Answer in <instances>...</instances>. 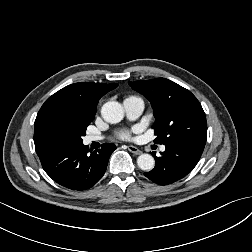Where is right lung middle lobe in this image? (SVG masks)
<instances>
[{"label":"right lung middle lobe","mask_w":252,"mask_h":252,"mask_svg":"<svg viewBox=\"0 0 252 252\" xmlns=\"http://www.w3.org/2000/svg\"><path fill=\"white\" fill-rule=\"evenodd\" d=\"M92 120L73 117L63 111H50L35 122V146L80 143Z\"/></svg>","instance_id":"obj_1"}]
</instances>
